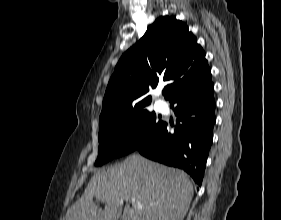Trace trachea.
Instances as JSON below:
<instances>
[{
    "label": "trachea",
    "mask_w": 281,
    "mask_h": 220,
    "mask_svg": "<svg viewBox=\"0 0 281 220\" xmlns=\"http://www.w3.org/2000/svg\"><path fill=\"white\" fill-rule=\"evenodd\" d=\"M166 92H167V88L164 89V93H166Z\"/></svg>",
    "instance_id": "1"
}]
</instances>
